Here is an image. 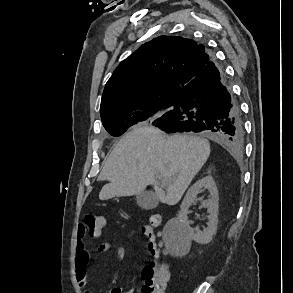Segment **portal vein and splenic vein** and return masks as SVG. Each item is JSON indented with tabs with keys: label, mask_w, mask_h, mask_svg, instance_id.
<instances>
[{
	"label": "portal vein and splenic vein",
	"mask_w": 293,
	"mask_h": 293,
	"mask_svg": "<svg viewBox=\"0 0 293 293\" xmlns=\"http://www.w3.org/2000/svg\"><path fill=\"white\" fill-rule=\"evenodd\" d=\"M157 178L160 180L161 179V176L160 175H157Z\"/></svg>",
	"instance_id": "portal-vein-and-splenic-vein-1"
}]
</instances>
